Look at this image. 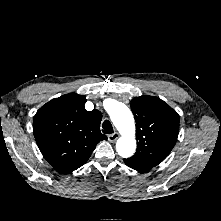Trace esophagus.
<instances>
[{
  "instance_id": "esophagus-1",
  "label": "esophagus",
  "mask_w": 221,
  "mask_h": 221,
  "mask_svg": "<svg viewBox=\"0 0 221 221\" xmlns=\"http://www.w3.org/2000/svg\"><path fill=\"white\" fill-rule=\"evenodd\" d=\"M119 138V134L117 132L108 135L109 142H115Z\"/></svg>"
}]
</instances>
